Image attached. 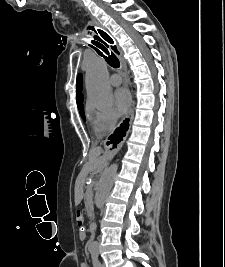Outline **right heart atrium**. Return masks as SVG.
<instances>
[{"instance_id":"1","label":"right heart atrium","mask_w":225,"mask_h":267,"mask_svg":"<svg viewBox=\"0 0 225 267\" xmlns=\"http://www.w3.org/2000/svg\"><path fill=\"white\" fill-rule=\"evenodd\" d=\"M88 114L92 129L97 135L109 134L116 128L117 116L111 109L96 108L90 105Z\"/></svg>"}]
</instances>
